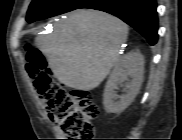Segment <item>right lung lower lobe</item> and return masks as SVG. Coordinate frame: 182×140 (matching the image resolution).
<instances>
[{"instance_id": "1", "label": "right lung lower lobe", "mask_w": 182, "mask_h": 140, "mask_svg": "<svg viewBox=\"0 0 182 140\" xmlns=\"http://www.w3.org/2000/svg\"><path fill=\"white\" fill-rule=\"evenodd\" d=\"M79 8L101 10L119 17L142 34L150 45L158 40L156 0H88Z\"/></svg>"}]
</instances>
